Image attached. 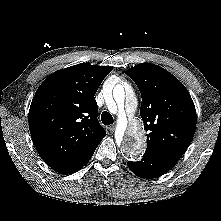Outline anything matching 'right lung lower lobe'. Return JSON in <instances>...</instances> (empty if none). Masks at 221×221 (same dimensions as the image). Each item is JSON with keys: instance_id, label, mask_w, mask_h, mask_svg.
<instances>
[{"instance_id": "right-lung-lower-lobe-1", "label": "right lung lower lobe", "mask_w": 221, "mask_h": 221, "mask_svg": "<svg viewBox=\"0 0 221 221\" xmlns=\"http://www.w3.org/2000/svg\"><path fill=\"white\" fill-rule=\"evenodd\" d=\"M100 142L95 143L83 151L79 152L74 157L52 167L55 171L61 174H72L82 168L92 157L95 149Z\"/></svg>"}]
</instances>
